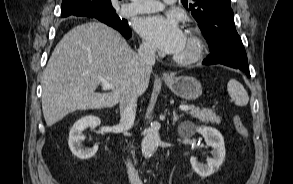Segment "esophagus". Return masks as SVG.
Masks as SVG:
<instances>
[{
  "instance_id": "34e87169",
  "label": "esophagus",
  "mask_w": 293,
  "mask_h": 184,
  "mask_svg": "<svg viewBox=\"0 0 293 184\" xmlns=\"http://www.w3.org/2000/svg\"><path fill=\"white\" fill-rule=\"evenodd\" d=\"M162 77H163V79H170L171 78L170 74L166 73V72L162 74Z\"/></svg>"
}]
</instances>
